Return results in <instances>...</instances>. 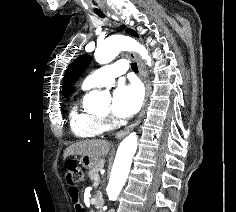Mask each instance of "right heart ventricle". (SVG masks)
Listing matches in <instances>:
<instances>
[{
  "instance_id": "obj_1",
  "label": "right heart ventricle",
  "mask_w": 236,
  "mask_h": 212,
  "mask_svg": "<svg viewBox=\"0 0 236 212\" xmlns=\"http://www.w3.org/2000/svg\"><path fill=\"white\" fill-rule=\"evenodd\" d=\"M81 89L82 91L89 90L83 86ZM69 118L73 133L82 139L97 137L107 129L103 117L83 109L78 100L72 103Z\"/></svg>"
}]
</instances>
